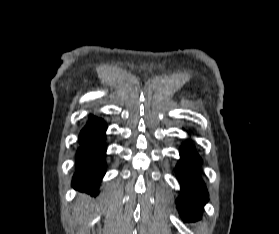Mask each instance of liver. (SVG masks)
<instances>
[{"label":"liver","instance_id":"obj_1","mask_svg":"<svg viewBox=\"0 0 279 234\" xmlns=\"http://www.w3.org/2000/svg\"><path fill=\"white\" fill-rule=\"evenodd\" d=\"M87 203V198L84 195H80L78 198V202L76 206L74 207V212H73V223L76 224L80 221V219L83 217L85 213L84 206Z\"/></svg>","mask_w":279,"mask_h":234}]
</instances>
